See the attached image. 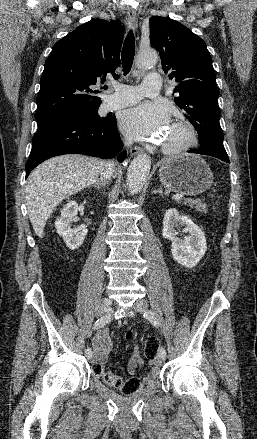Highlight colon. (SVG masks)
I'll use <instances>...</instances> for the list:
<instances>
[{"label": "colon", "mask_w": 257, "mask_h": 439, "mask_svg": "<svg viewBox=\"0 0 257 439\" xmlns=\"http://www.w3.org/2000/svg\"><path fill=\"white\" fill-rule=\"evenodd\" d=\"M132 337V332H128L127 338ZM159 347V342L155 337L149 338L144 347L145 356L149 359L156 357ZM92 371L95 376L100 377L106 384L114 386L119 389L123 394H131L139 390L141 387V381L138 378L122 379L110 371L105 370L101 363H94Z\"/></svg>", "instance_id": "colon-1"}]
</instances>
